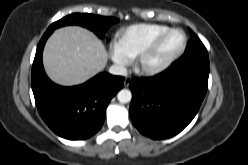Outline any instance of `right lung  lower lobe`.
I'll return each mask as SVG.
<instances>
[{
  "mask_svg": "<svg viewBox=\"0 0 248 165\" xmlns=\"http://www.w3.org/2000/svg\"><path fill=\"white\" fill-rule=\"evenodd\" d=\"M53 31L47 30L41 38L32 66V90L36 106L42 119L57 135L70 140L86 139L102 127L106 108L123 87L124 78L100 73L79 86L54 84L46 76L42 64V51Z\"/></svg>",
  "mask_w": 248,
  "mask_h": 165,
  "instance_id": "1",
  "label": "right lung lower lobe"
}]
</instances>
